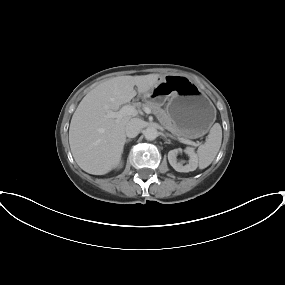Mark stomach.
I'll return each mask as SVG.
<instances>
[{
    "label": "stomach",
    "instance_id": "0dacf381",
    "mask_svg": "<svg viewBox=\"0 0 285 285\" xmlns=\"http://www.w3.org/2000/svg\"><path fill=\"white\" fill-rule=\"evenodd\" d=\"M146 101L160 104L167 101L166 112L173 124L187 138L205 135L216 119L212 102L188 77L166 75L144 94Z\"/></svg>",
    "mask_w": 285,
    "mask_h": 285
}]
</instances>
